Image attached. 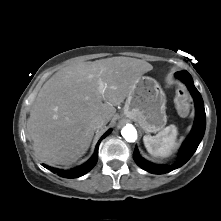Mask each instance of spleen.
<instances>
[{"label":"spleen","instance_id":"spleen-1","mask_svg":"<svg viewBox=\"0 0 221 221\" xmlns=\"http://www.w3.org/2000/svg\"><path fill=\"white\" fill-rule=\"evenodd\" d=\"M178 130L175 125H169L156 136L145 135L144 145L147 151L155 157H168L176 145Z\"/></svg>","mask_w":221,"mask_h":221}]
</instances>
